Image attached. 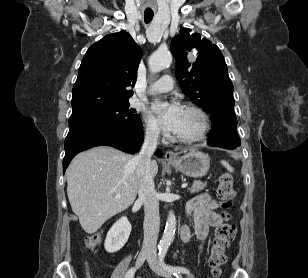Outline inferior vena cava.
<instances>
[{"mask_svg":"<svg viewBox=\"0 0 308 278\" xmlns=\"http://www.w3.org/2000/svg\"><path fill=\"white\" fill-rule=\"evenodd\" d=\"M159 132L146 131L144 143L135 161L137 163L139 200L144 204L145 219L143 224V253L156 254V244L160 227L159 200L151 174V157L156 150Z\"/></svg>","mask_w":308,"mask_h":278,"instance_id":"obj_1","label":"inferior vena cava"}]
</instances>
